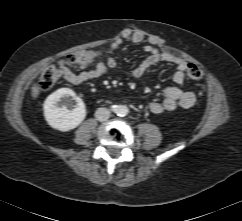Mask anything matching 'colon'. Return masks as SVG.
Here are the masks:
<instances>
[{
	"mask_svg": "<svg viewBox=\"0 0 242 221\" xmlns=\"http://www.w3.org/2000/svg\"><path fill=\"white\" fill-rule=\"evenodd\" d=\"M97 57L98 54L94 51H82L72 54L70 60L75 65L83 66L93 62ZM61 74V69L57 65L46 67L40 74L38 81L39 88L43 91L52 89L60 79ZM187 75L192 81H199L203 76L201 69L194 64H190L187 67Z\"/></svg>",
	"mask_w": 242,
	"mask_h": 221,
	"instance_id": "1",
	"label": "colon"
}]
</instances>
